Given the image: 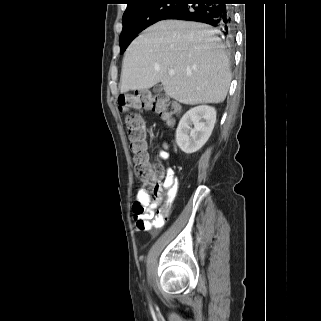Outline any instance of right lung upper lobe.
<instances>
[{"instance_id":"obj_1","label":"right lung upper lobe","mask_w":321,"mask_h":321,"mask_svg":"<svg viewBox=\"0 0 321 321\" xmlns=\"http://www.w3.org/2000/svg\"><path fill=\"white\" fill-rule=\"evenodd\" d=\"M127 8L124 12V15L127 14L130 10L134 8H138L142 5H144L146 2L153 1V0H127Z\"/></svg>"}]
</instances>
